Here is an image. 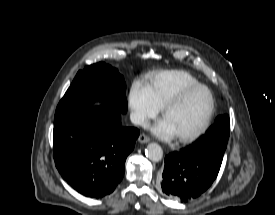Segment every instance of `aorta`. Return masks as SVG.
<instances>
[{
    "label": "aorta",
    "mask_w": 275,
    "mask_h": 215,
    "mask_svg": "<svg viewBox=\"0 0 275 215\" xmlns=\"http://www.w3.org/2000/svg\"><path fill=\"white\" fill-rule=\"evenodd\" d=\"M146 156L154 162H158L163 158V150L160 145L156 143H150L145 151Z\"/></svg>",
    "instance_id": "obj_1"
}]
</instances>
